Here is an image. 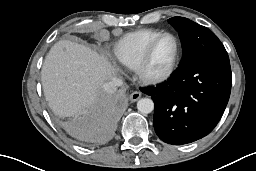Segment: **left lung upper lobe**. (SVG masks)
<instances>
[{"mask_svg": "<svg viewBox=\"0 0 256 171\" xmlns=\"http://www.w3.org/2000/svg\"><path fill=\"white\" fill-rule=\"evenodd\" d=\"M168 22L179 32L183 49L181 64L206 54L227 53L217 36L208 28L184 17H173Z\"/></svg>", "mask_w": 256, "mask_h": 171, "instance_id": "5c2ea615", "label": "left lung upper lobe"}]
</instances>
